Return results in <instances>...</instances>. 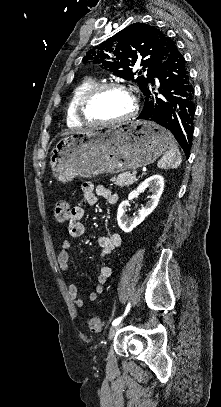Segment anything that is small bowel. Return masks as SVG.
I'll return each mask as SVG.
<instances>
[{
	"instance_id": "obj_1",
	"label": "small bowel",
	"mask_w": 221,
	"mask_h": 407,
	"mask_svg": "<svg viewBox=\"0 0 221 407\" xmlns=\"http://www.w3.org/2000/svg\"><path fill=\"white\" fill-rule=\"evenodd\" d=\"M81 192L82 202L72 209V214L68 223V232L72 237H80L84 234L85 227L82 223V217L85 205H96L99 197H103L111 205L116 204L118 201L116 193L111 192L104 186H96L90 181L81 184ZM98 243L101 247V257L105 259L106 256L111 254L121 244V239L117 233H110L100 236ZM70 246L71 244L68 240L62 241L61 248L56 257L57 266L62 272H67L69 270ZM111 274L112 268L110 264L104 261L97 277V285L88 297L90 302H94L98 295L102 294L104 285L107 283ZM68 295L76 307L82 308L84 306V301L79 297L78 287L75 284H68Z\"/></svg>"
}]
</instances>
